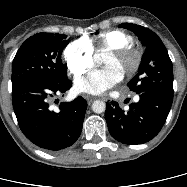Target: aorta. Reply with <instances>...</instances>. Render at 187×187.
Here are the masks:
<instances>
[{
	"label": "aorta",
	"mask_w": 187,
	"mask_h": 187,
	"mask_svg": "<svg viewBox=\"0 0 187 187\" xmlns=\"http://www.w3.org/2000/svg\"><path fill=\"white\" fill-rule=\"evenodd\" d=\"M92 110L94 113L100 114L106 110V104L103 101L96 100L92 104Z\"/></svg>",
	"instance_id": "aorta-1"
}]
</instances>
